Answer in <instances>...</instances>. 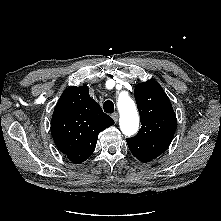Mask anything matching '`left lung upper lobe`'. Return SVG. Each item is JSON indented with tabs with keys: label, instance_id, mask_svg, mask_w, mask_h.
<instances>
[{
	"label": "left lung upper lobe",
	"instance_id": "5c2ea615",
	"mask_svg": "<svg viewBox=\"0 0 221 221\" xmlns=\"http://www.w3.org/2000/svg\"><path fill=\"white\" fill-rule=\"evenodd\" d=\"M134 95L141 117V129L126 139L132 154L148 162L170 145L176 130V115L160 84L146 81L135 86Z\"/></svg>",
	"mask_w": 221,
	"mask_h": 221
}]
</instances>
